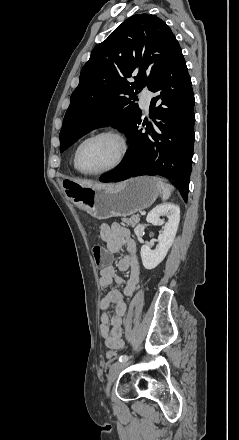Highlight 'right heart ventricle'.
Listing matches in <instances>:
<instances>
[{
  "label": "right heart ventricle",
  "instance_id": "right-heart-ventricle-1",
  "mask_svg": "<svg viewBox=\"0 0 239 440\" xmlns=\"http://www.w3.org/2000/svg\"><path fill=\"white\" fill-rule=\"evenodd\" d=\"M73 166H74V168L76 169V167H75V163H74V160H73Z\"/></svg>",
  "mask_w": 239,
  "mask_h": 440
}]
</instances>
